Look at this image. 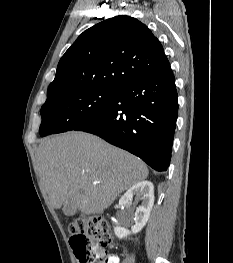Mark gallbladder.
Masks as SVG:
<instances>
[{
  "instance_id": "gallbladder-1",
  "label": "gallbladder",
  "mask_w": 233,
  "mask_h": 263,
  "mask_svg": "<svg viewBox=\"0 0 233 263\" xmlns=\"http://www.w3.org/2000/svg\"><path fill=\"white\" fill-rule=\"evenodd\" d=\"M77 211L76 206L74 205V203L72 202V200L70 199L68 201V203L63 207V213L66 216H73Z\"/></svg>"
}]
</instances>
